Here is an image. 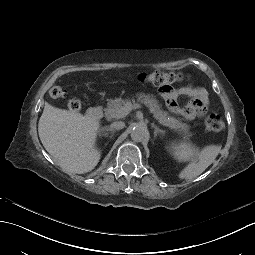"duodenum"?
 Wrapping results in <instances>:
<instances>
[{"instance_id":"obj_1","label":"duodenum","mask_w":255,"mask_h":255,"mask_svg":"<svg viewBox=\"0 0 255 255\" xmlns=\"http://www.w3.org/2000/svg\"><path fill=\"white\" fill-rule=\"evenodd\" d=\"M102 116V109L100 107H92L87 111V117L91 120H99Z\"/></svg>"}]
</instances>
